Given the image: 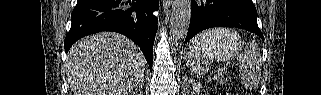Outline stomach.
Masks as SVG:
<instances>
[{
  "instance_id": "obj_1",
  "label": "stomach",
  "mask_w": 321,
  "mask_h": 95,
  "mask_svg": "<svg viewBox=\"0 0 321 95\" xmlns=\"http://www.w3.org/2000/svg\"><path fill=\"white\" fill-rule=\"evenodd\" d=\"M193 40L187 47V58H199L201 61L206 59V62L230 59L242 48V40L239 35L230 31L228 35L215 43L202 39L195 43Z\"/></svg>"
}]
</instances>
